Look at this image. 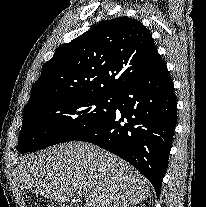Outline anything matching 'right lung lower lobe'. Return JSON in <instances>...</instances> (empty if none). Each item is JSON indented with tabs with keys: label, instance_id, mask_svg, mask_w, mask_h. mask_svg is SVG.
<instances>
[{
	"label": "right lung lower lobe",
	"instance_id": "right-lung-lower-lobe-1",
	"mask_svg": "<svg viewBox=\"0 0 206 207\" xmlns=\"http://www.w3.org/2000/svg\"><path fill=\"white\" fill-rule=\"evenodd\" d=\"M115 97L114 113L76 140L98 145L132 164L159 197L177 114L174 85L161 56Z\"/></svg>",
	"mask_w": 206,
	"mask_h": 207
}]
</instances>
